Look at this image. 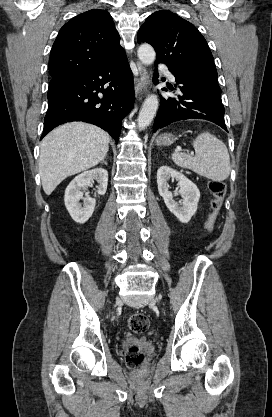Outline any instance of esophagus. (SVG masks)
Returning a JSON list of instances; mask_svg holds the SVG:
<instances>
[{
    "label": "esophagus",
    "mask_w": 272,
    "mask_h": 417,
    "mask_svg": "<svg viewBox=\"0 0 272 417\" xmlns=\"http://www.w3.org/2000/svg\"><path fill=\"white\" fill-rule=\"evenodd\" d=\"M139 78L135 82V93L136 96H141L147 91L149 85V75L146 68L138 63Z\"/></svg>",
    "instance_id": "obj_1"
}]
</instances>
